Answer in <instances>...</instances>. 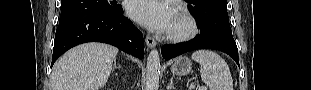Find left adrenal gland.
<instances>
[{
    "instance_id": "1",
    "label": "left adrenal gland",
    "mask_w": 311,
    "mask_h": 90,
    "mask_svg": "<svg viewBox=\"0 0 311 90\" xmlns=\"http://www.w3.org/2000/svg\"><path fill=\"white\" fill-rule=\"evenodd\" d=\"M176 88L173 86V78H171L170 83L167 86V90H175Z\"/></svg>"
}]
</instances>
